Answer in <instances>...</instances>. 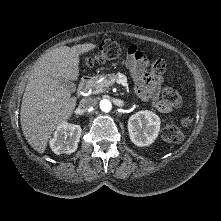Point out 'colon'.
Instances as JSON below:
<instances>
[{
    "label": "colon",
    "mask_w": 221,
    "mask_h": 221,
    "mask_svg": "<svg viewBox=\"0 0 221 221\" xmlns=\"http://www.w3.org/2000/svg\"><path fill=\"white\" fill-rule=\"evenodd\" d=\"M121 45L114 40L105 41L100 50L86 58V63L89 66L96 64H103L107 61L113 60L121 53ZM166 64L164 60L157 59L151 66L149 75L151 77H159L164 73ZM163 100L170 106L179 107L182 105V97L179 91L173 87L168 86L163 89L162 92ZM190 118L186 117L182 119L181 126H177L174 122L170 121L166 124L163 129V137L169 142H180L184 138V130L189 126Z\"/></svg>",
    "instance_id": "1"
}]
</instances>
